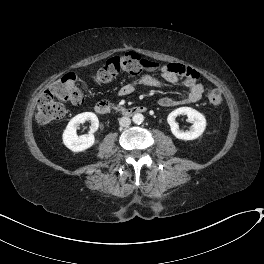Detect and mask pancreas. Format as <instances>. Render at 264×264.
<instances>
[{
    "label": "pancreas",
    "instance_id": "1",
    "mask_svg": "<svg viewBox=\"0 0 264 264\" xmlns=\"http://www.w3.org/2000/svg\"><path fill=\"white\" fill-rule=\"evenodd\" d=\"M112 107L115 109V110H117V111H121V110H123V107L122 106H120V105H112Z\"/></svg>",
    "mask_w": 264,
    "mask_h": 264
}]
</instances>
